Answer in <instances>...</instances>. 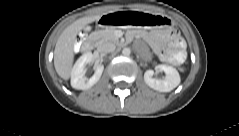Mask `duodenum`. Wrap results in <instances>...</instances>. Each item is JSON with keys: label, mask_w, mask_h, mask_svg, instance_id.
I'll use <instances>...</instances> for the list:
<instances>
[{"label": "duodenum", "mask_w": 239, "mask_h": 136, "mask_svg": "<svg viewBox=\"0 0 239 136\" xmlns=\"http://www.w3.org/2000/svg\"><path fill=\"white\" fill-rule=\"evenodd\" d=\"M75 44L78 48H80L84 52H89L93 48V42L90 40L85 41V39L83 37H79L76 40Z\"/></svg>", "instance_id": "1"}]
</instances>
